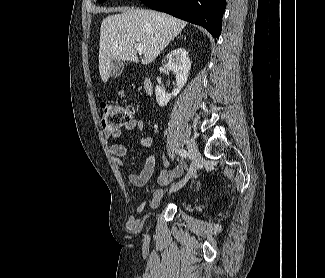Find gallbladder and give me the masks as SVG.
<instances>
[{"mask_svg": "<svg viewBox=\"0 0 325 278\" xmlns=\"http://www.w3.org/2000/svg\"><path fill=\"white\" fill-rule=\"evenodd\" d=\"M112 64H113V66H112L110 76L113 78H116L123 71V63L117 59H113Z\"/></svg>", "mask_w": 325, "mask_h": 278, "instance_id": "obj_1", "label": "gallbladder"}]
</instances>
